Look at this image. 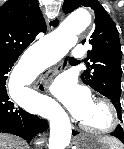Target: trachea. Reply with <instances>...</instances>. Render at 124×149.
<instances>
[{
  "label": "trachea",
  "mask_w": 124,
  "mask_h": 149,
  "mask_svg": "<svg viewBox=\"0 0 124 149\" xmlns=\"http://www.w3.org/2000/svg\"><path fill=\"white\" fill-rule=\"evenodd\" d=\"M70 60H75V58H71Z\"/></svg>",
  "instance_id": "obj_1"
}]
</instances>
